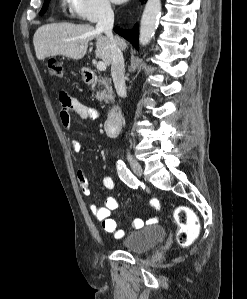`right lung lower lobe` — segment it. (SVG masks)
Segmentation results:
<instances>
[{"instance_id": "1", "label": "right lung lower lobe", "mask_w": 247, "mask_h": 299, "mask_svg": "<svg viewBox=\"0 0 247 299\" xmlns=\"http://www.w3.org/2000/svg\"><path fill=\"white\" fill-rule=\"evenodd\" d=\"M142 3L147 0H140ZM114 31L119 34L120 36L124 37L126 40H128L132 45L138 49V39H139V31L137 24L134 26L132 30H125L121 29L119 27H115Z\"/></svg>"}]
</instances>
